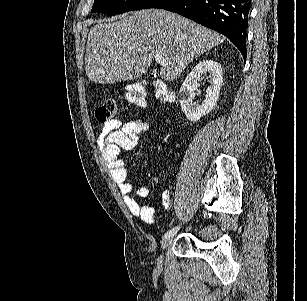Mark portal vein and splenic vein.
Wrapping results in <instances>:
<instances>
[{"label": "portal vein and splenic vein", "mask_w": 307, "mask_h": 301, "mask_svg": "<svg viewBox=\"0 0 307 301\" xmlns=\"http://www.w3.org/2000/svg\"><path fill=\"white\" fill-rule=\"evenodd\" d=\"M156 62H159V64H167V62H165L163 56H161V54H155L154 56Z\"/></svg>", "instance_id": "1"}]
</instances>
